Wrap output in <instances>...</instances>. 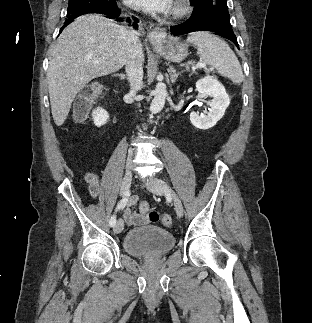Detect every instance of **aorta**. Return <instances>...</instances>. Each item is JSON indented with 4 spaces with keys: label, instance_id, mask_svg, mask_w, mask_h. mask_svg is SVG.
Returning <instances> with one entry per match:
<instances>
[{
    "label": "aorta",
    "instance_id": "762f6f07",
    "mask_svg": "<svg viewBox=\"0 0 312 323\" xmlns=\"http://www.w3.org/2000/svg\"><path fill=\"white\" fill-rule=\"evenodd\" d=\"M154 92L155 96L150 106V112H155L156 114V112H161L162 108H164L168 94L166 92V86L165 84H162V82L156 84V90H154Z\"/></svg>",
    "mask_w": 312,
    "mask_h": 323
}]
</instances>
